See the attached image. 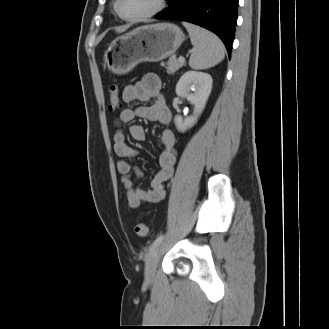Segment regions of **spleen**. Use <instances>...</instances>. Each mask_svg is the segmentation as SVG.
<instances>
[{
	"instance_id": "spleen-1",
	"label": "spleen",
	"mask_w": 329,
	"mask_h": 329,
	"mask_svg": "<svg viewBox=\"0 0 329 329\" xmlns=\"http://www.w3.org/2000/svg\"><path fill=\"white\" fill-rule=\"evenodd\" d=\"M182 24L187 29L194 46V51L189 59L192 69H207L224 59V45L215 34L191 23L183 22Z\"/></svg>"
}]
</instances>
